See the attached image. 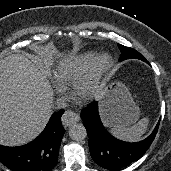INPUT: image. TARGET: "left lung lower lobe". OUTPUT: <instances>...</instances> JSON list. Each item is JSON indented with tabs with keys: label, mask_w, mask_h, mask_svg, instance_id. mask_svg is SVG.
Instances as JSON below:
<instances>
[{
	"label": "left lung lower lobe",
	"mask_w": 171,
	"mask_h": 171,
	"mask_svg": "<svg viewBox=\"0 0 171 171\" xmlns=\"http://www.w3.org/2000/svg\"><path fill=\"white\" fill-rule=\"evenodd\" d=\"M89 137V149L93 160L108 170H118L141 158L154 140L160 121L154 131L143 141L127 143L114 138L104 128L95 102L81 113Z\"/></svg>",
	"instance_id": "1"
}]
</instances>
